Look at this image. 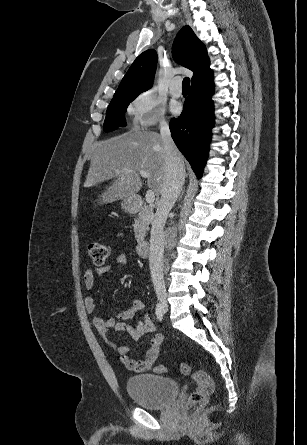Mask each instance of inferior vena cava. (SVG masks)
<instances>
[{
    "mask_svg": "<svg viewBox=\"0 0 307 445\" xmlns=\"http://www.w3.org/2000/svg\"><path fill=\"white\" fill-rule=\"evenodd\" d=\"M160 136L166 152L164 180L161 198L152 223L149 251V267L154 291L161 303L166 301L167 293L163 275L164 227L167 214L176 202L185 180L184 160L171 136L165 118L160 120Z\"/></svg>",
    "mask_w": 307,
    "mask_h": 445,
    "instance_id": "602c4592",
    "label": "inferior vena cava"
}]
</instances>
